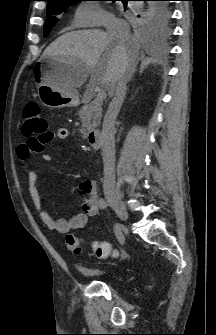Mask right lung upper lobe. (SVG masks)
<instances>
[{"label": "right lung upper lobe", "mask_w": 216, "mask_h": 335, "mask_svg": "<svg viewBox=\"0 0 216 335\" xmlns=\"http://www.w3.org/2000/svg\"><path fill=\"white\" fill-rule=\"evenodd\" d=\"M48 1V5L52 3H57V2H63V1H74V0H46Z\"/></svg>", "instance_id": "right-lung-upper-lobe-1"}]
</instances>
